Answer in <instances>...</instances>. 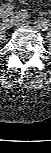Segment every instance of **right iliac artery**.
<instances>
[{
  "instance_id": "1",
  "label": "right iliac artery",
  "mask_w": 51,
  "mask_h": 153,
  "mask_svg": "<svg viewBox=\"0 0 51 153\" xmlns=\"http://www.w3.org/2000/svg\"><path fill=\"white\" fill-rule=\"evenodd\" d=\"M13 6L11 4H5L0 8V14L2 16L3 21L7 19V16L11 13Z\"/></svg>"
}]
</instances>
